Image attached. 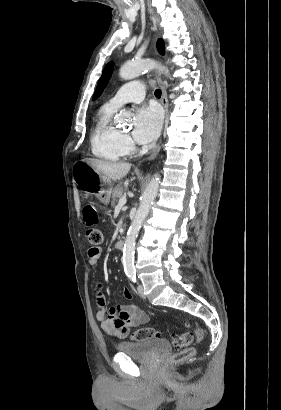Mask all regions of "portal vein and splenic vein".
Returning <instances> with one entry per match:
<instances>
[{
	"mask_svg": "<svg viewBox=\"0 0 281 410\" xmlns=\"http://www.w3.org/2000/svg\"><path fill=\"white\" fill-rule=\"evenodd\" d=\"M126 202H127L126 195H123V196L119 199V202H118L117 207H122V206H124V205L126 204Z\"/></svg>",
	"mask_w": 281,
	"mask_h": 410,
	"instance_id": "18ae733b",
	"label": "portal vein and splenic vein"
}]
</instances>
